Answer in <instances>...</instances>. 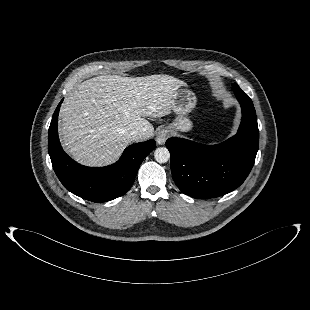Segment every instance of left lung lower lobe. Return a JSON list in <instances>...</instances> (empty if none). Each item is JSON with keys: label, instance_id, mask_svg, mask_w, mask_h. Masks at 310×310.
Returning a JSON list of instances; mask_svg holds the SVG:
<instances>
[{"label": "left lung lower lobe", "instance_id": "1", "mask_svg": "<svg viewBox=\"0 0 310 310\" xmlns=\"http://www.w3.org/2000/svg\"><path fill=\"white\" fill-rule=\"evenodd\" d=\"M235 92L242 109L238 132L217 145H202L183 138H169L171 172L178 188L193 198L207 199L227 194L250 173L259 146V130L250 97Z\"/></svg>", "mask_w": 310, "mask_h": 310}]
</instances>
